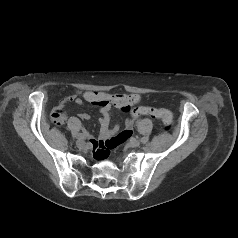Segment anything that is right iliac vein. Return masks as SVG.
<instances>
[{"label": "right iliac vein", "mask_w": 238, "mask_h": 238, "mask_svg": "<svg viewBox=\"0 0 238 238\" xmlns=\"http://www.w3.org/2000/svg\"><path fill=\"white\" fill-rule=\"evenodd\" d=\"M78 148H84L86 146V142L83 139H79L76 142Z\"/></svg>", "instance_id": "63e3f726"}]
</instances>
